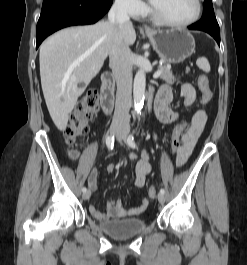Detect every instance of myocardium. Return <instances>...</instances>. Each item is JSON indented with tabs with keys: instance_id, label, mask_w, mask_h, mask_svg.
<instances>
[{
	"instance_id": "myocardium-1",
	"label": "myocardium",
	"mask_w": 247,
	"mask_h": 265,
	"mask_svg": "<svg viewBox=\"0 0 247 265\" xmlns=\"http://www.w3.org/2000/svg\"><path fill=\"white\" fill-rule=\"evenodd\" d=\"M196 12L192 18L184 22H174L164 17L151 3H148V12L151 18L160 25L171 28H185L195 24L201 17L203 12V4L201 0H195Z\"/></svg>"
}]
</instances>
